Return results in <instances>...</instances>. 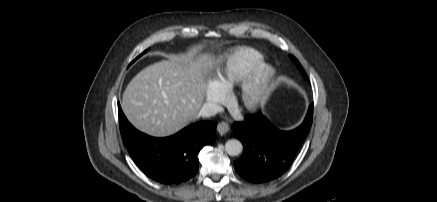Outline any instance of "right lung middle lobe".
<instances>
[{"label":"right lung middle lobe","instance_id":"obj_1","mask_svg":"<svg viewBox=\"0 0 437 202\" xmlns=\"http://www.w3.org/2000/svg\"><path fill=\"white\" fill-rule=\"evenodd\" d=\"M147 52V50L146 51H144L141 55H143L144 53H146ZM141 55H139L137 58H139Z\"/></svg>","mask_w":437,"mask_h":202}]
</instances>
